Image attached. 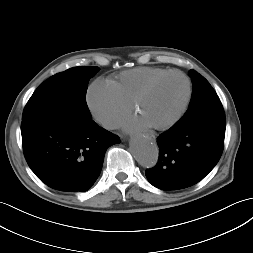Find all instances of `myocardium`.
Masks as SVG:
<instances>
[{
  "mask_svg": "<svg viewBox=\"0 0 253 253\" xmlns=\"http://www.w3.org/2000/svg\"><path fill=\"white\" fill-rule=\"evenodd\" d=\"M171 75H180L181 77L184 78L185 82H186V95L184 98V101L180 107V109L178 110V112L176 113V115L170 119L168 122L163 123V124H159V125H151L152 128L156 129V130H167L171 127H173L174 125H176L184 116V114L187 111V108L189 106V103L191 101V97H192V82L191 79L189 78V76L180 71V70H168L165 73L153 78L151 81H149L134 97L132 103H131V108L133 111L137 110V107L139 105V103L151 92V90L164 78L171 76Z\"/></svg>",
  "mask_w": 253,
  "mask_h": 253,
  "instance_id": "obj_1",
  "label": "myocardium"
}]
</instances>
